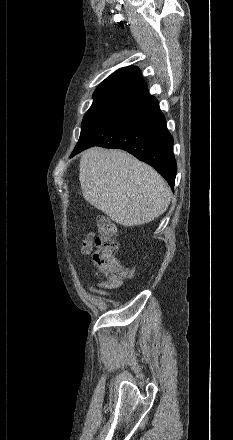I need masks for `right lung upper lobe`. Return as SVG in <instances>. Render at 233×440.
<instances>
[{"label":"right lung upper lobe","instance_id":"obj_1","mask_svg":"<svg viewBox=\"0 0 233 440\" xmlns=\"http://www.w3.org/2000/svg\"><path fill=\"white\" fill-rule=\"evenodd\" d=\"M148 93L137 67L118 69L107 77L94 92V102L127 104Z\"/></svg>","mask_w":233,"mask_h":440}]
</instances>
